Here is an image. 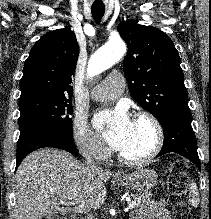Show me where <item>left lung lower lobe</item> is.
Wrapping results in <instances>:
<instances>
[{
    "instance_id": "left-lung-lower-lobe-1",
    "label": "left lung lower lobe",
    "mask_w": 211,
    "mask_h": 219,
    "mask_svg": "<svg viewBox=\"0 0 211 219\" xmlns=\"http://www.w3.org/2000/svg\"><path fill=\"white\" fill-rule=\"evenodd\" d=\"M161 126L164 131V144L156 157L174 152L186 157L200 169L196 137L191 127L190 111L173 112L167 115Z\"/></svg>"
}]
</instances>
